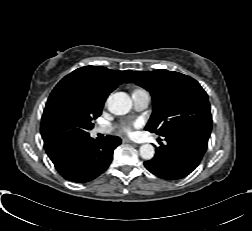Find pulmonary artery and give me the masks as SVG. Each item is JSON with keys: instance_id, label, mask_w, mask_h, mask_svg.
Instances as JSON below:
<instances>
[{"instance_id": "1", "label": "pulmonary artery", "mask_w": 252, "mask_h": 231, "mask_svg": "<svg viewBox=\"0 0 252 231\" xmlns=\"http://www.w3.org/2000/svg\"><path fill=\"white\" fill-rule=\"evenodd\" d=\"M132 100H133L134 108L137 111H142L148 107L151 97L147 91L138 89V90L133 91ZM110 131L111 130L108 127H98L95 130L96 133H101V134H107Z\"/></svg>"}]
</instances>
